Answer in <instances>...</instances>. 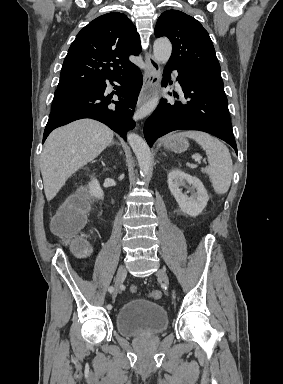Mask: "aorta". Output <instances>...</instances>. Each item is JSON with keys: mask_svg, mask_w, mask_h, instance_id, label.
Segmentation results:
<instances>
[{"mask_svg": "<svg viewBox=\"0 0 283 384\" xmlns=\"http://www.w3.org/2000/svg\"><path fill=\"white\" fill-rule=\"evenodd\" d=\"M172 52L171 42L166 38L156 39L153 45V54L156 61L160 63H166ZM159 103V96L155 94L151 99H149L142 107H140L134 114V120H140L144 117L150 115ZM128 143L130 144L132 150L134 151L136 158L138 160L140 173L145 177L151 166V152L148 144L143 138L135 133L127 134Z\"/></svg>", "mask_w": 283, "mask_h": 384, "instance_id": "1", "label": "aorta"}]
</instances>
